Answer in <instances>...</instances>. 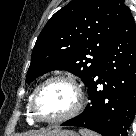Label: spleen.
<instances>
[{
    "mask_svg": "<svg viewBox=\"0 0 136 136\" xmlns=\"http://www.w3.org/2000/svg\"><path fill=\"white\" fill-rule=\"evenodd\" d=\"M80 133L82 136H98L97 134H94L93 132L87 131V130H80Z\"/></svg>",
    "mask_w": 136,
    "mask_h": 136,
    "instance_id": "spleen-1",
    "label": "spleen"
}]
</instances>
